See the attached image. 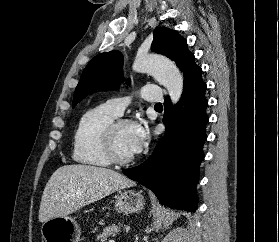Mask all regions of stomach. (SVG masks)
Returning a JSON list of instances; mask_svg holds the SVG:
<instances>
[{
  "instance_id": "1",
  "label": "stomach",
  "mask_w": 279,
  "mask_h": 242,
  "mask_svg": "<svg viewBox=\"0 0 279 242\" xmlns=\"http://www.w3.org/2000/svg\"><path fill=\"white\" fill-rule=\"evenodd\" d=\"M145 200L141 193L126 190L119 194L115 208L120 213H136L144 208ZM41 235L45 242H79L80 229L70 216L54 217L42 224Z\"/></svg>"
}]
</instances>
